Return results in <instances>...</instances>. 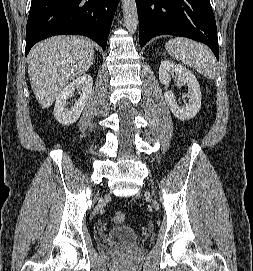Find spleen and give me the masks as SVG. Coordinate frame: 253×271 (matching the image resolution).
Wrapping results in <instances>:
<instances>
[{"mask_svg":"<svg viewBox=\"0 0 253 271\" xmlns=\"http://www.w3.org/2000/svg\"><path fill=\"white\" fill-rule=\"evenodd\" d=\"M165 48L170 56L181 61L184 65L195 69L208 79H214L216 74L215 57L205 45L184 37H176L169 40Z\"/></svg>","mask_w":253,"mask_h":271,"instance_id":"3e777b00","label":"spleen"}]
</instances>
